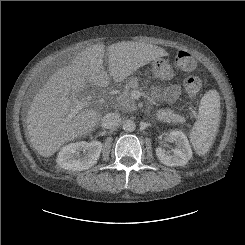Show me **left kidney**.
<instances>
[{
  "instance_id": "5707ae66",
  "label": "left kidney",
  "mask_w": 245,
  "mask_h": 245,
  "mask_svg": "<svg viewBox=\"0 0 245 245\" xmlns=\"http://www.w3.org/2000/svg\"><path fill=\"white\" fill-rule=\"evenodd\" d=\"M168 139L175 143L172 154L158 147L156 155L161 163L167 166H184L192 158V149L186 135L182 131L170 130L167 132Z\"/></svg>"
}]
</instances>
